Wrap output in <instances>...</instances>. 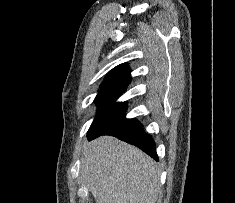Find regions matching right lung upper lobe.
Wrapping results in <instances>:
<instances>
[{"mask_svg": "<svg viewBox=\"0 0 235 203\" xmlns=\"http://www.w3.org/2000/svg\"><path fill=\"white\" fill-rule=\"evenodd\" d=\"M130 78V69L126 64H121L110 71L101 87L113 85H128L130 82Z\"/></svg>", "mask_w": 235, "mask_h": 203, "instance_id": "1", "label": "right lung upper lobe"}]
</instances>
